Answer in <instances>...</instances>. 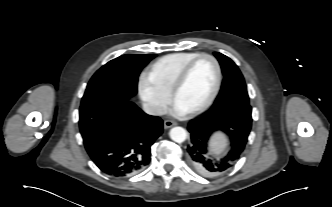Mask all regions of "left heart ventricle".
I'll list each match as a JSON object with an SVG mask.
<instances>
[{
    "instance_id": "left-heart-ventricle-1",
    "label": "left heart ventricle",
    "mask_w": 332,
    "mask_h": 207,
    "mask_svg": "<svg viewBox=\"0 0 332 207\" xmlns=\"http://www.w3.org/2000/svg\"><path fill=\"white\" fill-rule=\"evenodd\" d=\"M216 80L214 64L201 59L192 67L184 85L178 91L175 103L187 112L202 105L210 96Z\"/></svg>"
}]
</instances>
